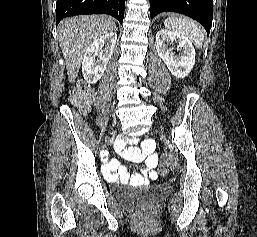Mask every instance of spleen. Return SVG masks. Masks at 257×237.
Returning <instances> with one entry per match:
<instances>
[{
  "label": "spleen",
  "mask_w": 257,
  "mask_h": 237,
  "mask_svg": "<svg viewBox=\"0 0 257 237\" xmlns=\"http://www.w3.org/2000/svg\"><path fill=\"white\" fill-rule=\"evenodd\" d=\"M164 24L170 31L188 38L197 48L202 47L204 34L197 23L186 18H167Z\"/></svg>",
  "instance_id": "obj_1"
}]
</instances>
